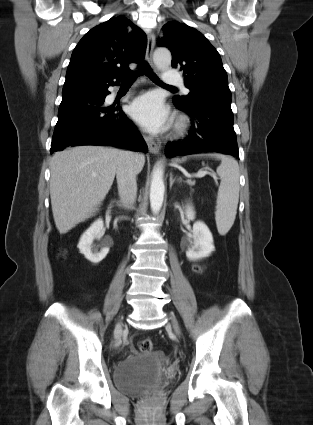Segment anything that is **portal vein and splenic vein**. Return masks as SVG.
I'll use <instances>...</instances> for the list:
<instances>
[{
  "label": "portal vein and splenic vein",
  "mask_w": 313,
  "mask_h": 425,
  "mask_svg": "<svg viewBox=\"0 0 313 425\" xmlns=\"http://www.w3.org/2000/svg\"><path fill=\"white\" fill-rule=\"evenodd\" d=\"M207 174H209V172L208 171H199L198 173H196V174H194L193 176L194 177H196V178H203V177H205ZM188 178H190L191 177V175H186ZM212 177L216 180L217 179V177L215 176V175H212Z\"/></svg>",
  "instance_id": "18ae733b"
}]
</instances>
